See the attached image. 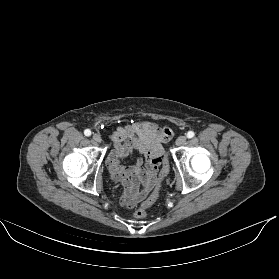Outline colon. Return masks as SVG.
Returning <instances> with one entry per match:
<instances>
[{
  "mask_svg": "<svg viewBox=\"0 0 279 279\" xmlns=\"http://www.w3.org/2000/svg\"><path fill=\"white\" fill-rule=\"evenodd\" d=\"M168 172H169V163H168L167 159H164L163 166H162L161 173H160L159 183H158L157 187L155 188V190L153 191V193L135 211V216L137 218L146 217V215H147L146 209L148 207H150L158 198L160 188H161V183L164 180V178L166 177V175L168 174Z\"/></svg>",
  "mask_w": 279,
  "mask_h": 279,
  "instance_id": "5ec220e1",
  "label": "colon"
}]
</instances>
